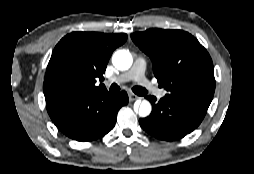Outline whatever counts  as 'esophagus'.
Returning <instances> with one entry per match:
<instances>
[{
	"mask_svg": "<svg viewBox=\"0 0 254 174\" xmlns=\"http://www.w3.org/2000/svg\"><path fill=\"white\" fill-rule=\"evenodd\" d=\"M137 99H139V97L137 95H135L133 93H129V101L132 102V101H135Z\"/></svg>",
	"mask_w": 254,
	"mask_h": 174,
	"instance_id": "34e87169",
	"label": "esophagus"
}]
</instances>
